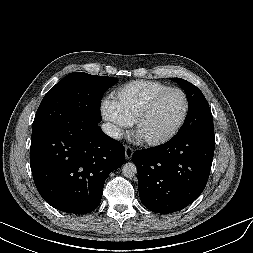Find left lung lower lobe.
<instances>
[{
  "label": "left lung lower lobe",
  "instance_id": "obj_1",
  "mask_svg": "<svg viewBox=\"0 0 253 253\" xmlns=\"http://www.w3.org/2000/svg\"><path fill=\"white\" fill-rule=\"evenodd\" d=\"M215 149L214 127L178 134L165 144L137 150L141 202L155 213L179 211L204 190Z\"/></svg>",
  "mask_w": 253,
  "mask_h": 253
}]
</instances>
